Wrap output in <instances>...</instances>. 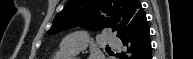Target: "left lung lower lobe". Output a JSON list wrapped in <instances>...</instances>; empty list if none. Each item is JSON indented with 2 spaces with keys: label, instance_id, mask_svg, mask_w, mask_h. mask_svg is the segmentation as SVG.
Instances as JSON below:
<instances>
[{
  "label": "left lung lower lobe",
  "instance_id": "1",
  "mask_svg": "<svg viewBox=\"0 0 193 59\" xmlns=\"http://www.w3.org/2000/svg\"><path fill=\"white\" fill-rule=\"evenodd\" d=\"M149 26L146 15L137 13L119 37L127 49L120 59H152Z\"/></svg>",
  "mask_w": 193,
  "mask_h": 59
}]
</instances>
